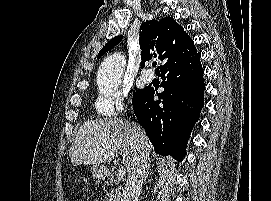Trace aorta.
I'll return each instance as SVG.
<instances>
[{
  "label": "aorta",
  "instance_id": "aorta-1",
  "mask_svg": "<svg viewBox=\"0 0 271 201\" xmlns=\"http://www.w3.org/2000/svg\"><path fill=\"white\" fill-rule=\"evenodd\" d=\"M125 67V56L114 53L107 56L99 67L98 82L100 86L115 89L120 82Z\"/></svg>",
  "mask_w": 271,
  "mask_h": 201
}]
</instances>
